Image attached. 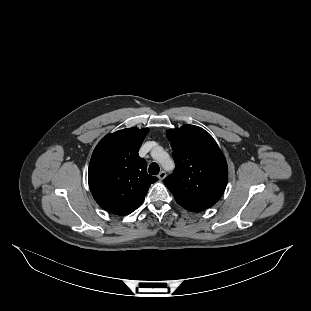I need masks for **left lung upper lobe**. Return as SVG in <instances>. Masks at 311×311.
<instances>
[{"mask_svg": "<svg viewBox=\"0 0 311 311\" xmlns=\"http://www.w3.org/2000/svg\"><path fill=\"white\" fill-rule=\"evenodd\" d=\"M173 149L175 170L164 179L178 204L204 210L223 195L228 167L221 150L204 129L184 125L167 131Z\"/></svg>", "mask_w": 311, "mask_h": 311, "instance_id": "left-lung-upper-lobe-1", "label": "left lung upper lobe"}]
</instances>
